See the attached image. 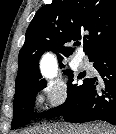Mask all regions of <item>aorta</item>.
<instances>
[{"instance_id":"1","label":"aorta","mask_w":116,"mask_h":134,"mask_svg":"<svg viewBox=\"0 0 116 134\" xmlns=\"http://www.w3.org/2000/svg\"><path fill=\"white\" fill-rule=\"evenodd\" d=\"M41 71L44 77L53 78L56 75L57 67L55 59L52 55L47 54L41 62Z\"/></svg>"}]
</instances>
